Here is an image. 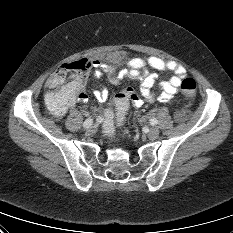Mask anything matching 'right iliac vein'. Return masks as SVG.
<instances>
[{
	"mask_svg": "<svg viewBox=\"0 0 233 233\" xmlns=\"http://www.w3.org/2000/svg\"><path fill=\"white\" fill-rule=\"evenodd\" d=\"M96 131V128L95 127H92L88 130V133L92 134Z\"/></svg>",
	"mask_w": 233,
	"mask_h": 233,
	"instance_id": "obj_1",
	"label": "right iliac vein"
}]
</instances>
